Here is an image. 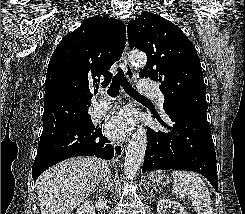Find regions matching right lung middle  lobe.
Wrapping results in <instances>:
<instances>
[{"instance_id":"1","label":"right lung middle lobe","mask_w":245,"mask_h":214,"mask_svg":"<svg viewBox=\"0 0 245 214\" xmlns=\"http://www.w3.org/2000/svg\"><path fill=\"white\" fill-rule=\"evenodd\" d=\"M91 101V100H89ZM88 109H85L84 111H82L77 117V120H82V121H87L89 120L91 117L88 115L87 113Z\"/></svg>"}]
</instances>
